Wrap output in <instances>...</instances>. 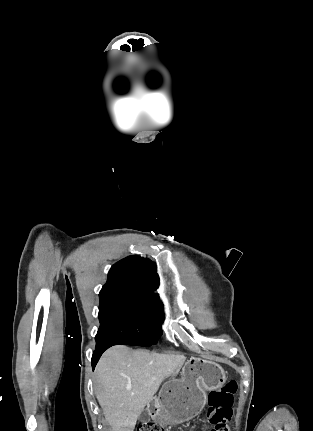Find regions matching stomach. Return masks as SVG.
Listing matches in <instances>:
<instances>
[{
    "label": "stomach",
    "instance_id": "obj_1",
    "mask_svg": "<svg viewBox=\"0 0 313 431\" xmlns=\"http://www.w3.org/2000/svg\"><path fill=\"white\" fill-rule=\"evenodd\" d=\"M226 382V372L217 363L190 358L182 368L180 379L164 384L151 402L153 418L161 424H180L202 411L206 391L218 389Z\"/></svg>",
    "mask_w": 313,
    "mask_h": 431
}]
</instances>
